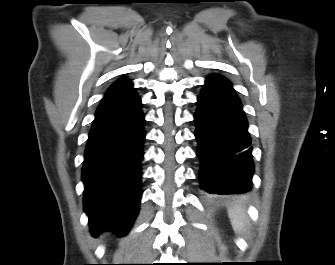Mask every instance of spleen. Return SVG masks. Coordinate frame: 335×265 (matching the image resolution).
<instances>
[{"label": "spleen", "mask_w": 335, "mask_h": 265, "mask_svg": "<svg viewBox=\"0 0 335 265\" xmlns=\"http://www.w3.org/2000/svg\"><path fill=\"white\" fill-rule=\"evenodd\" d=\"M233 230L240 234L246 226V214L243 208L236 206L228 210Z\"/></svg>", "instance_id": "spleen-1"}]
</instances>
